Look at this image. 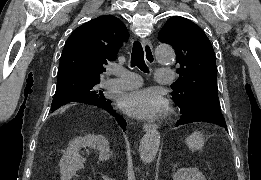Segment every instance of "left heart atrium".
I'll return each instance as SVG.
<instances>
[{"label": "left heart atrium", "mask_w": 261, "mask_h": 180, "mask_svg": "<svg viewBox=\"0 0 261 180\" xmlns=\"http://www.w3.org/2000/svg\"><path fill=\"white\" fill-rule=\"evenodd\" d=\"M119 105L131 116L150 118L164 111L166 99L157 89L145 88L122 93L119 96Z\"/></svg>", "instance_id": "left-heart-atrium-1"}]
</instances>
